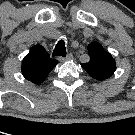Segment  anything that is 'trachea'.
I'll return each mask as SVG.
<instances>
[{
  "instance_id": "3493384b",
  "label": "trachea",
  "mask_w": 135,
  "mask_h": 135,
  "mask_svg": "<svg viewBox=\"0 0 135 135\" xmlns=\"http://www.w3.org/2000/svg\"><path fill=\"white\" fill-rule=\"evenodd\" d=\"M52 56H62V57L66 56V47H65V42L63 40H60L56 44Z\"/></svg>"
}]
</instances>
